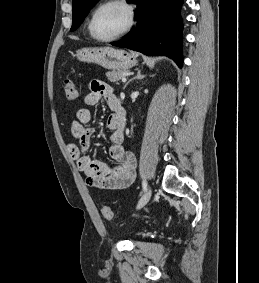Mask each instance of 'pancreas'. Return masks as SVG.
I'll use <instances>...</instances> for the list:
<instances>
[{
	"label": "pancreas",
	"mask_w": 259,
	"mask_h": 283,
	"mask_svg": "<svg viewBox=\"0 0 259 283\" xmlns=\"http://www.w3.org/2000/svg\"><path fill=\"white\" fill-rule=\"evenodd\" d=\"M125 70H113L106 73V77L109 81L118 84V82L123 78Z\"/></svg>",
	"instance_id": "obj_1"
}]
</instances>
